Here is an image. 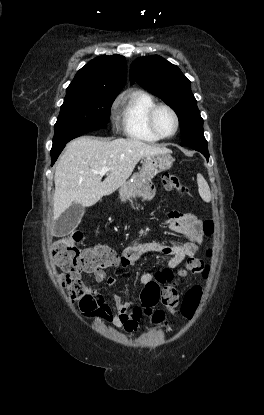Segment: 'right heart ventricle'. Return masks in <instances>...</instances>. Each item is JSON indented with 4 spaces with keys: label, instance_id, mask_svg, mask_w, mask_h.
<instances>
[{
    "label": "right heart ventricle",
    "instance_id": "1",
    "mask_svg": "<svg viewBox=\"0 0 264 415\" xmlns=\"http://www.w3.org/2000/svg\"><path fill=\"white\" fill-rule=\"evenodd\" d=\"M156 104L155 99L143 91H133L122 97L119 101V124L123 133L137 141L158 142L147 124V114Z\"/></svg>",
    "mask_w": 264,
    "mask_h": 415
}]
</instances>
